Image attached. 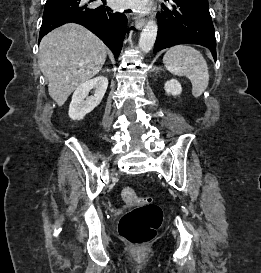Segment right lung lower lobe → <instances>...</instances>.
<instances>
[{
  "label": "right lung lower lobe",
  "mask_w": 261,
  "mask_h": 273,
  "mask_svg": "<svg viewBox=\"0 0 261 273\" xmlns=\"http://www.w3.org/2000/svg\"><path fill=\"white\" fill-rule=\"evenodd\" d=\"M95 1L47 0L39 41L54 28L74 22L85 26L97 35L117 58L127 32V18L122 13H114L104 3L101 6L94 5Z\"/></svg>",
  "instance_id": "1"
}]
</instances>
